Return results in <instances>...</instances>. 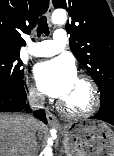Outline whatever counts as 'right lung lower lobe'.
I'll return each mask as SVG.
<instances>
[{
  "label": "right lung lower lobe",
  "instance_id": "98d812e1",
  "mask_svg": "<svg viewBox=\"0 0 114 156\" xmlns=\"http://www.w3.org/2000/svg\"><path fill=\"white\" fill-rule=\"evenodd\" d=\"M26 99L27 97L24 89L16 93L0 92V112H19L23 109L31 112V109L26 104ZM33 115L45 124L47 123L45 111L43 109L34 111Z\"/></svg>",
  "mask_w": 114,
  "mask_h": 156
}]
</instances>
